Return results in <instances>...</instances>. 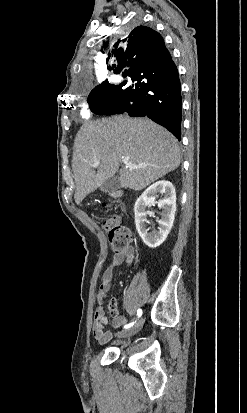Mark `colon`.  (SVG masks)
Masks as SVG:
<instances>
[{
  "mask_svg": "<svg viewBox=\"0 0 247 413\" xmlns=\"http://www.w3.org/2000/svg\"><path fill=\"white\" fill-rule=\"evenodd\" d=\"M104 229L108 232L109 240L114 248L121 251L128 244L129 232L127 228L116 218H107L102 221Z\"/></svg>",
  "mask_w": 247,
  "mask_h": 413,
  "instance_id": "colon-1",
  "label": "colon"
}]
</instances>
